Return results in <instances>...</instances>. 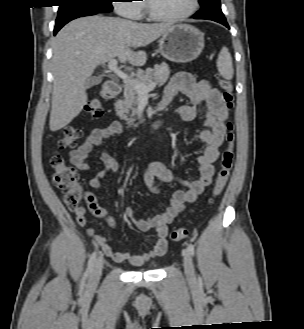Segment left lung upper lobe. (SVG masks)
<instances>
[{"label":"left lung upper lobe","instance_id":"obj_1","mask_svg":"<svg viewBox=\"0 0 304 329\" xmlns=\"http://www.w3.org/2000/svg\"><path fill=\"white\" fill-rule=\"evenodd\" d=\"M208 0H199L200 5L202 6L205 2H207Z\"/></svg>","mask_w":304,"mask_h":329}]
</instances>
